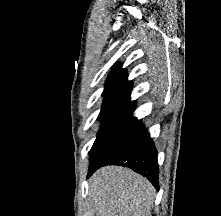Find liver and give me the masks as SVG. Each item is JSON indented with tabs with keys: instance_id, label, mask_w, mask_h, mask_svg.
I'll return each mask as SVG.
<instances>
[{
	"instance_id": "1",
	"label": "liver",
	"mask_w": 221,
	"mask_h": 216,
	"mask_svg": "<svg viewBox=\"0 0 221 216\" xmlns=\"http://www.w3.org/2000/svg\"><path fill=\"white\" fill-rule=\"evenodd\" d=\"M89 195L96 216H151L155 189L128 168L107 166L91 177Z\"/></svg>"
}]
</instances>
